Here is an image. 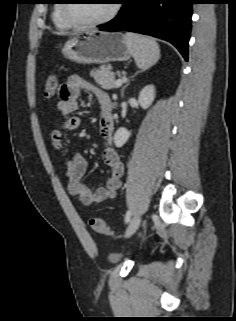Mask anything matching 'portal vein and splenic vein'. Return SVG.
<instances>
[{"mask_svg": "<svg viewBox=\"0 0 236 321\" xmlns=\"http://www.w3.org/2000/svg\"><path fill=\"white\" fill-rule=\"evenodd\" d=\"M124 81H125V78L117 79L116 82H115L116 87H120L123 84Z\"/></svg>", "mask_w": 236, "mask_h": 321, "instance_id": "portal-vein-and-splenic-vein-1", "label": "portal vein and splenic vein"}]
</instances>
